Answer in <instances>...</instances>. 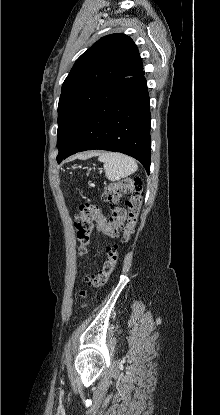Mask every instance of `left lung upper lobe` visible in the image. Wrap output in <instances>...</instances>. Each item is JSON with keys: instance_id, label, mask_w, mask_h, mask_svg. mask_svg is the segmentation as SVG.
<instances>
[{"instance_id": "obj_1", "label": "left lung upper lobe", "mask_w": 220, "mask_h": 415, "mask_svg": "<svg viewBox=\"0 0 220 415\" xmlns=\"http://www.w3.org/2000/svg\"><path fill=\"white\" fill-rule=\"evenodd\" d=\"M143 70L139 51L124 34L102 37L75 62L62 85L58 105L59 154L72 144L87 114L116 79Z\"/></svg>"}]
</instances>
